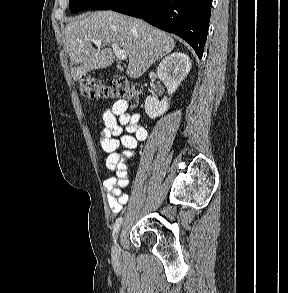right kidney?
I'll return each mask as SVG.
<instances>
[{"mask_svg": "<svg viewBox=\"0 0 288 293\" xmlns=\"http://www.w3.org/2000/svg\"><path fill=\"white\" fill-rule=\"evenodd\" d=\"M191 69L190 58L181 52H174L166 56L157 68V75L164 83L168 94L172 95ZM169 108L168 98L161 101L156 97L148 96L145 100V112L151 118L164 114Z\"/></svg>", "mask_w": 288, "mask_h": 293, "instance_id": "right-kidney-1", "label": "right kidney"}]
</instances>
